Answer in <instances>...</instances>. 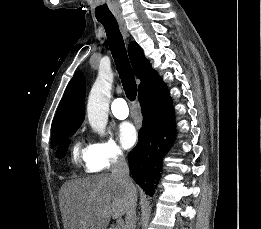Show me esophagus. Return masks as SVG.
I'll return each mask as SVG.
<instances>
[{
    "instance_id": "1",
    "label": "esophagus",
    "mask_w": 261,
    "mask_h": 229,
    "mask_svg": "<svg viewBox=\"0 0 261 229\" xmlns=\"http://www.w3.org/2000/svg\"><path fill=\"white\" fill-rule=\"evenodd\" d=\"M115 16H116L120 31H121L122 35L126 38L127 34H128L126 22H125L124 18L122 17V15H115Z\"/></svg>"
}]
</instances>
